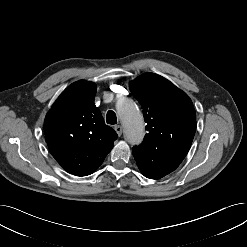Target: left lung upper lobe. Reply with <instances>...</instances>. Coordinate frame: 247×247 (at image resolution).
Listing matches in <instances>:
<instances>
[{"instance_id":"left-lung-upper-lobe-1","label":"left lung upper lobe","mask_w":247,"mask_h":247,"mask_svg":"<svg viewBox=\"0 0 247 247\" xmlns=\"http://www.w3.org/2000/svg\"><path fill=\"white\" fill-rule=\"evenodd\" d=\"M143 108L148 131L133 148L138 166L161 162L176 166L188 153L196 130V114L189 96L164 77L146 73L130 84Z\"/></svg>"}]
</instances>
